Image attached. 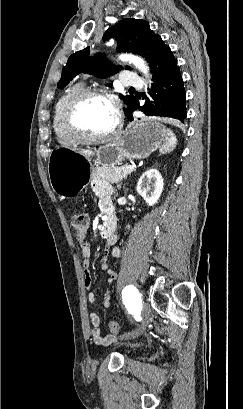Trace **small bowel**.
I'll return each mask as SVG.
<instances>
[{"label": "small bowel", "mask_w": 243, "mask_h": 409, "mask_svg": "<svg viewBox=\"0 0 243 409\" xmlns=\"http://www.w3.org/2000/svg\"><path fill=\"white\" fill-rule=\"evenodd\" d=\"M94 189L101 196L100 207L103 212L110 209L114 211V206L110 197L111 188L105 186L99 182L94 184ZM81 251L83 255V268H84V285L90 290L92 286V277L90 272V247L88 242H84L81 245ZM122 254L120 246L117 245V237L114 234L110 239L106 240L105 250L101 261V268L104 272L108 274L107 286L103 292V299L97 305V307L108 308L110 306L112 289L111 286L113 282L117 279V273L110 267L109 259L110 257L118 258ZM88 300L91 304L96 302V294L91 291L88 295ZM91 337L96 344L102 346H109L116 341L114 335L103 336L100 329V318L98 314L93 311L90 313Z\"/></svg>", "instance_id": "1"}]
</instances>
